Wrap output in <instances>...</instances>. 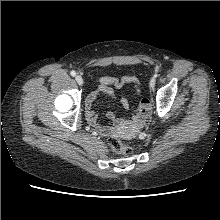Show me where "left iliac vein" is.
<instances>
[{
  "label": "left iliac vein",
  "instance_id": "1",
  "mask_svg": "<svg viewBox=\"0 0 220 220\" xmlns=\"http://www.w3.org/2000/svg\"><path fill=\"white\" fill-rule=\"evenodd\" d=\"M155 83H156L155 78H152V79L150 80V82H149L150 87H151V88H154Z\"/></svg>",
  "mask_w": 220,
  "mask_h": 220
}]
</instances>
